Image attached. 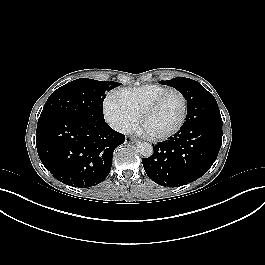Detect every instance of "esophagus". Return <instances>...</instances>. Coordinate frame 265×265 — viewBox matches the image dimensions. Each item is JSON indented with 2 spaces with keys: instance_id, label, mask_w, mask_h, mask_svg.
Wrapping results in <instances>:
<instances>
[{
  "instance_id": "esophagus-1",
  "label": "esophagus",
  "mask_w": 265,
  "mask_h": 265,
  "mask_svg": "<svg viewBox=\"0 0 265 265\" xmlns=\"http://www.w3.org/2000/svg\"><path fill=\"white\" fill-rule=\"evenodd\" d=\"M130 140H131L132 142H136V141H137V139H136L135 137H130Z\"/></svg>"
}]
</instances>
